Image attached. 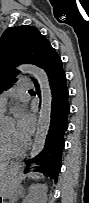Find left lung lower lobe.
<instances>
[{"mask_svg":"<svg viewBox=\"0 0 89 203\" xmlns=\"http://www.w3.org/2000/svg\"><path fill=\"white\" fill-rule=\"evenodd\" d=\"M63 63L56 50L48 45L43 53L40 68L44 69L49 78L52 92L51 122L45 147L35 158L26 163H37L35 172L43 173L57 181L61 169V155L64 149V133L68 128V115L70 106L68 102V89L66 75L62 67ZM36 93L39 97L40 89L36 80Z\"/></svg>","mask_w":89,"mask_h":203,"instance_id":"obj_1","label":"left lung lower lobe"}]
</instances>
